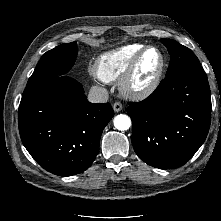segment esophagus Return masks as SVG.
Segmentation results:
<instances>
[{"mask_svg": "<svg viewBox=\"0 0 221 221\" xmlns=\"http://www.w3.org/2000/svg\"><path fill=\"white\" fill-rule=\"evenodd\" d=\"M123 106L120 102H115L113 104V110L114 112H120L122 110Z\"/></svg>", "mask_w": 221, "mask_h": 221, "instance_id": "34e87169", "label": "esophagus"}]
</instances>
